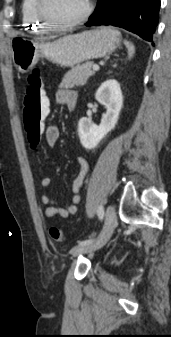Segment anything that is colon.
I'll return each mask as SVG.
<instances>
[{
	"instance_id": "1",
	"label": "colon",
	"mask_w": 171,
	"mask_h": 337,
	"mask_svg": "<svg viewBox=\"0 0 171 337\" xmlns=\"http://www.w3.org/2000/svg\"><path fill=\"white\" fill-rule=\"evenodd\" d=\"M50 94H44V85L41 73L33 70L27 78L24 95L23 123L28 142L35 146L40 142L43 133L44 117L50 116L48 107ZM50 237L58 242L65 240L63 231L57 227H50Z\"/></svg>"
}]
</instances>
